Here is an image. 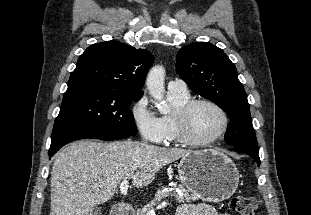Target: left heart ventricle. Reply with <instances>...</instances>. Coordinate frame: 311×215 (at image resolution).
<instances>
[{
    "label": "left heart ventricle",
    "instance_id": "obj_1",
    "mask_svg": "<svg viewBox=\"0 0 311 215\" xmlns=\"http://www.w3.org/2000/svg\"><path fill=\"white\" fill-rule=\"evenodd\" d=\"M222 125L220 113L210 105L197 106L190 116V134L196 140H206L215 135Z\"/></svg>",
    "mask_w": 311,
    "mask_h": 215
}]
</instances>
